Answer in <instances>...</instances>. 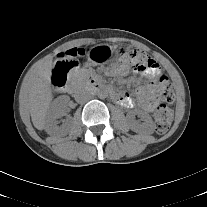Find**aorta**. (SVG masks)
I'll list each match as a JSON object with an SVG mask.
<instances>
[{
  "mask_svg": "<svg viewBox=\"0 0 207 207\" xmlns=\"http://www.w3.org/2000/svg\"><path fill=\"white\" fill-rule=\"evenodd\" d=\"M97 96L100 99H105L108 96V91L106 89H99L98 92H97Z\"/></svg>",
  "mask_w": 207,
  "mask_h": 207,
  "instance_id": "762f6f07",
  "label": "aorta"
}]
</instances>
